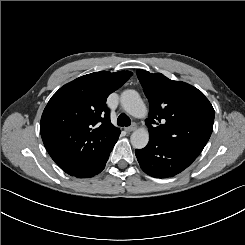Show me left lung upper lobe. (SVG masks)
I'll return each instance as SVG.
<instances>
[{"mask_svg": "<svg viewBox=\"0 0 245 245\" xmlns=\"http://www.w3.org/2000/svg\"><path fill=\"white\" fill-rule=\"evenodd\" d=\"M137 76L150 103L149 138L198 157L213 130L215 112L209 100L197 88L161 73L137 70Z\"/></svg>", "mask_w": 245, "mask_h": 245, "instance_id": "left-lung-upper-lobe-1", "label": "left lung upper lobe"}]
</instances>
